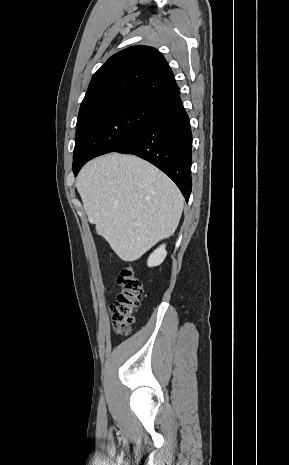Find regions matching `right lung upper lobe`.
<instances>
[{"label":"right lung upper lobe","instance_id":"obj_1","mask_svg":"<svg viewBox=\"0 0 289 465\" xmlns=\"http://www.w3.org/2000/svg\"><path fill=\"white\" fill-rule=\"evenodd\" d=\"M179 94L173 72L156 49L138 45L111 56L93 75L77 123L112 104L141 100L161 104Z\"/></svg>","mask_w":289,"mask_h":465}]
</instances>
